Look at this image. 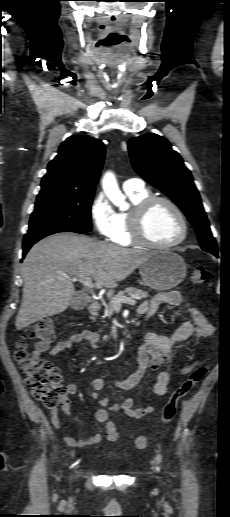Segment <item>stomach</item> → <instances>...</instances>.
<instances>
[{
  "label": "stomach",
  "instance_id": "obj_1",
  "mask_svg": "<svg viewBox=\"0 0 230 517\" xmlns=\"http://www.w3.org/2000/svg\"><path fill=\"white\" fill-rule=\"evenodd\" d=\"M139 270L145 285L157 291L176 287L187 274L184 259L170 250L153 251Z\"/></svg>",
  "mask_w": 230,
  "mask_h": 517
}]
</instances>
